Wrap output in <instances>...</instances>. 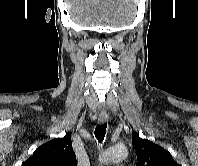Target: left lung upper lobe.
<instances>
[{
	"instance_id": "obj_1",
	"label": "left lung upper lobe",
	"mask_w": 198,
	"mask_h": 166,
	"mask_svg": "<svg viewBox=\"0 0 198 166\" xmlns=\"http://www.w3.org/2000/svg\"><path fill=\"white\" fill-rule=\"evenodd\" d=\"M132 144L137 153V166H180L167 150L147 139L140 138L138 133L132 135Z\"/></svg>"
}]
</instances>
